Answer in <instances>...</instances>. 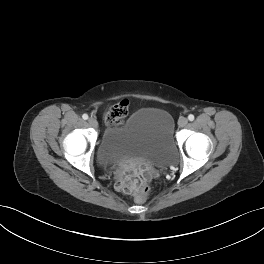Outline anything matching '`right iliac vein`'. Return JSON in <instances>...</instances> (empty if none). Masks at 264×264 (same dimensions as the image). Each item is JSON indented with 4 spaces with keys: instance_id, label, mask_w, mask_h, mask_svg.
<instances>
[{
    "instance_id": "63e3f726",
    "label": "right iliac vein",
    "mask_w": 264,
    "mask_h": 264,
    "mask_svg": "<svg viewBox=\"0 0 264 264\" xmlns=\"http://www.w3.org/2000/svg\"><path fill=\"white\" fill-rule=\"evenodd\" d=\"M88 123L92 126V127H94V128H97L98 127V122H97V120L95 119V118H89L88 119Z\"/></svg>"
}]
</instances>
